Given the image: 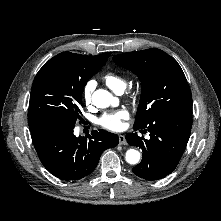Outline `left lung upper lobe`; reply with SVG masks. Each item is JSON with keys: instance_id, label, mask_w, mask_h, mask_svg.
Segmentation results:
<instances>
[{"instance_id": "5c2ea615", "label": "left lung upper lobe", "mask_w": 221, "mask_h": 221, "mask_svg": "<svg viewBox=\"0 0 221 221\" xmlns=\"http://www.w3.org/2000/svg\"><path fill=\"white\" fill-rule=\"evenodd\" d=\"M113 61L141 81L134 128H144L162 114H192V95L176 60L160 49L114 55Z\"/></svg>"}]
</instances>
